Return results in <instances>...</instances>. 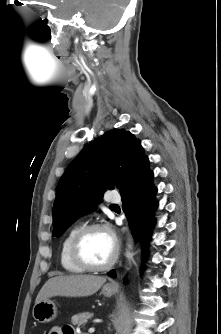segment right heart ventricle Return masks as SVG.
I'll return each instance as SVG.
<instances>
[{"instance_id":"obj_1","label":"right heart ventricle","mask_w":221,"mask_h":334,"mask_svg":"<svg viewBox=\"0 0 221 334\" xmlns=\"http://www.w3.org/2000/svg\"><path fill=\"white\" fill-rule=\"evenodd\" d=\"M79 229V226L72 227L63 238L60 248V264L66 272L71 274H79L85 271L72 260L70 253L71 242Z\"/></svg>"}]
</instances>
